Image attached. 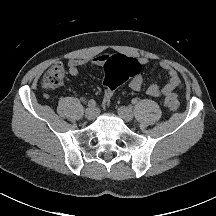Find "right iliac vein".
Masks as SVG:
<instances>
[{
	"label": "right iliac vein",
	"instance_id": "1",
	"mask_svg": "<svg viewBox=\"0 0 216 216\" xmlns=\"http://www.w3.org/2000/svg\"><path fill=\"white\" fill-rule=\"evenodd\" d=\"M98 115V111L95 107H88L86 110H85V117L88 119V120H93L97 117Z\"/></svg>",
	"mask_w": 216,
	"mask_h": 216
}]
</instances>
